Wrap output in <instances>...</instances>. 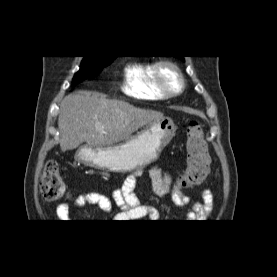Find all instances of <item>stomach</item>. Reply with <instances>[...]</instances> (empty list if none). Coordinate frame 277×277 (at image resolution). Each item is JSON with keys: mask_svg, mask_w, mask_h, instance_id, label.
<instances>
[{"mask_svg": "<svg viewBox=\"0 0 277 277\" xmlns=\"http://www.w3.org/2000/svg\"><path fill=\"white\" fill-rule=\"evenodd\" d=\"M174 135L172 119L163 117L146 124L136 135L117 145L81 146L75 159L100 170L130 172L155 162Z\"/></svg>", "mask_w": 277, "mask_h": 277, "instance_id": "stomach-1", "label": "stomach"}]
</instances>
